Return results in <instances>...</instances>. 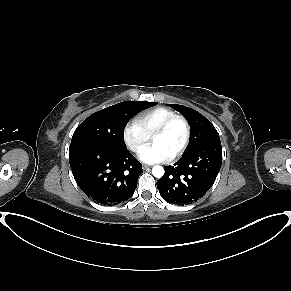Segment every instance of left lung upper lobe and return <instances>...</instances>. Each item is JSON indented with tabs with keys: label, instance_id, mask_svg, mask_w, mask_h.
<instances>
[{
	"label": "left lung upper lobe",
	"instance_id": "5c2ea615",
	"mask_svg": "<svg viewBox=\"0 0 291 291\" xmlns=\"http://www.w3.org/2000/svg\"><path fill=\"white\" fill-rule=\"evenodd\" d=\"M169 106L180 112L190 124L191 141L184 154H187L206 144L220 142V137L217 130L202 114L183 105L169 104Z\"/></svg>",
	"mask_w": 291,
	"mask_h": 291
}]
</instances>
